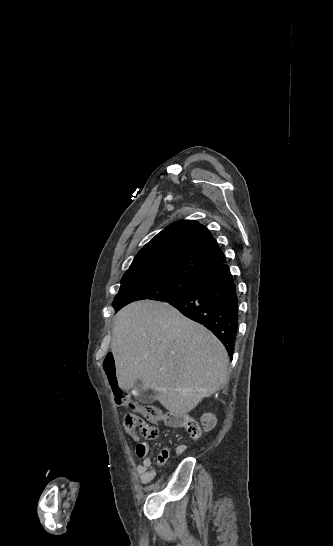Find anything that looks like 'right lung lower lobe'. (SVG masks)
Instances as JSON below:
<instances>
[{
	"label": "right lung lower lobe",
	"mask_w": 333,
	"mask_h": 546,
	"mask_svg": "<svg viewBox=\"0 0 333 546\" xmlns=\"http://www.w3.org/2000/svg\"><path fill=\"white\" fill-rule=\"evenodd\" d=\"M164 302L211 330L229 354H233L239 310L236 285L228 265L223 264L209 272L189 292Z\"/></svg>",
	"instance_id": "obj_1"
}]
</instances>
